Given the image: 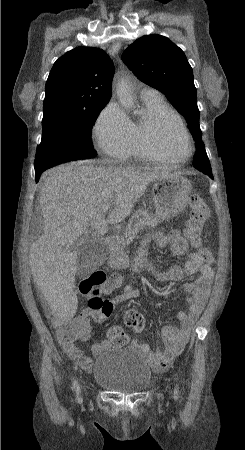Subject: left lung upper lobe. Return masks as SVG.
<instances>
[{"mask_svg":"<svg viewBox=\"0 0 245 450\" xmlns=\"http://www.w3.org/2000/svg\"><path fill=\"white\" fill-rule=\"evenodd\" d=\"M122 60L141 81L165 94L185 117L195 145H203L193 71L184 52L167 37L147 35L131 44ZM193 166L211 170L207 154L201 157L195 153Z\"/></svg>","mask_w":245,"mask_h":450,"instance_id":"5c2ea615","label":"left lung upper lobe"}]
</instances>
